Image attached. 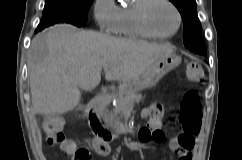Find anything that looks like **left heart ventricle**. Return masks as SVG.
<instances>
[{"instance_id": "left-heart-ventricle-1", "label": "left heart ventricle", "mask_w": 242, "mask_h": 160, "mask_svg": "<svg viewBox=\"0 0 242 160\" xmlns=\"http://www.w3.org/2000/svg\"><path fill=\"white\" fill-rule=\"evenodd\" d=\"M147 22L154 32L170 34L177 26V16L168 4L159 0L150 5L147 11Z\"/></svg>"}]
</instances>
